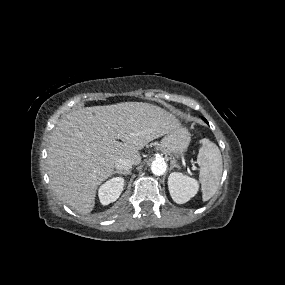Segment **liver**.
<instances>
[{"instance_id": "6515ba94", "label": "liver", "mask_w": 285, "mask_h": 285, "mask_svg": "<svg viewBox=\"0 0 285 285\" xmlns=\"http://www.w3.org/2000/svg\"><path fill=\"white\" fill-rule=\"evenodd\" d=\"M179 126L175 115L143 102L73 110L50 136L47 165L51 187L64 203L88 214L94 208L97 187L113 174L118 159L138 165L139 150Z\"/></svg>"}]
</instances>
